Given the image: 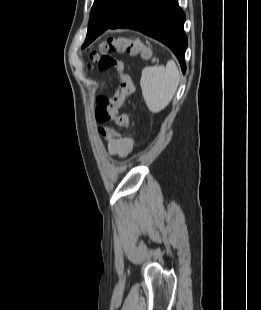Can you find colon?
I'll return each mask as SVG.
<instances>
[{
    "instance_id": "5ec220e1",
    "label": "colon",
    "mask_w": 261,
    "mask_h": 310,
    "mask_svg": "<svg viewBox=\"0 0 261 310\" xmlns=\"http://www.w3.org/2000/svg\"><path fill=\"white\" fill-rule=\"evenodd\" d=\"M112 52H123L130 56L141 55L145 59H153L154 54L150 47L144 46L137 38L124 36L112 37L102 42L98 50L90 53V58L97 61L102 71L115 67L118 71V88L112 97H101L97 100L95 117L99 123L114 121L122 130H109L99 127L100 134L115 138H127L130 133V119L128 114L120 113L119 109L125 100L134 93V84L123 66L110 56Z\"/></svg>"
}]
</instances>
